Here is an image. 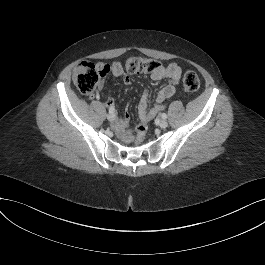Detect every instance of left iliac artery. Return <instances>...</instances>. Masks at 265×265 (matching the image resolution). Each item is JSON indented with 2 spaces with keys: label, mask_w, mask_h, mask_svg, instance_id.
Instances as JSON below:
<instances>
[{
  "label": "left iliac artery",
  "mask_w": 265,
  "mask_h": 265,
  "mask_svg": "<svg viewBox=\"0 0 265 265\" xmlns=\"http://www.w3.org/2000/svg\"><path fill=\"white\" fill-rule=\"evenodd\" d=\"M162 118H163V119H167V114H166V113H163V114H162Z\"/></svg>",
  "instance_id": "44dca946"
}]
</instances>
